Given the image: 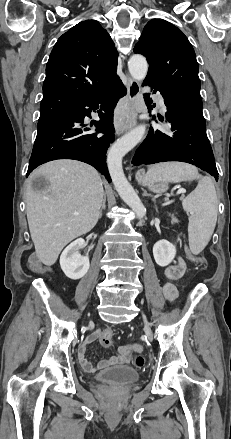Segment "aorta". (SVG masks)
<instances>
[{
	"label": "aorta",
	"mask_w": 231,
	"mask_h": 439,
	"mask_svg": "<svg viewBox=\"0 0 231 439\" xmlns=\"http://www.w3.org/2000/svg\"><path fill=\"white\" fill-rule=\"evenodd\" d=\"M128 69L133 79L143 81L147 75L148 63L143 55L135 54L128 61ZM146 126L139 125L120 139L109 149L107 166L112 182L121 199L135 212L138 218H143L146 208L136 194L135 190L125 177L122 159L126 153L133 149L144 137Z\"/></svg>",
	"instance_id": "762f6f07"
}]
</instances>
